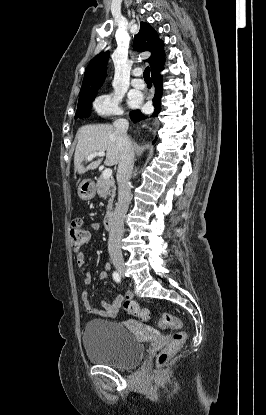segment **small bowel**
Listing matches in <instances>:
<instances>
[{
  "mask_svg": "<svg viewBox=\"0 0 266 415\" xmlns=\"http://www.w3.org/2000/svg\"><path fill=\"white\" fill-rule=\"evenodd\" d=\"M91 227H92L93 230H99L100 225H99V223H92ZM85 262H86V259H85L84 253L81 252V251H78L77 254H76V263H77V265L79 267H82V266H84ZM110 268H111V266H110L109 263H106L104 265V269L101 270L100 273H99V278L101 280L107 278L108 273L110 271ZM82 281H83V284L85 286L90 285L91 282H92L91 275L89 273H86L83 276ZM124 298L131 300L132 299L131 293H129V292L126 293L125 297L122 296V295H118L112 302L104 301L102 303V308L97 309V308L92 307V305L90 303V297H89L88 291L84 290L81 294V301H82V304H83V307H84L85 311L88 312V313L103 317V318H114V317H116L118 312H119L120 305H121Z\"/></svg>",
  "mask_w": 266,
  "mask_h": 415,
  "instance_id": "c3829d8e",
  "label": "small bowel"
}]
</instances>
